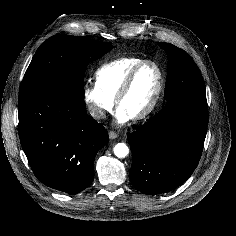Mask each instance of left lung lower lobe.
Here are the masks:
<instances>
[{
	"label": "left lung lower lobe",
	"mask_w": 236,
	"mask_h": 236,
	"mask_svg": "<svg viewBox=\"0 0 236 236\" xmlns=\"http://www.w3.org/2000/svg\"><path fill=\"white\" fill-rule=\"evenodd\" d=\"M207 122L206 96H189L169 102L130 133L132 185L144 194L155 195L184 183L198 166Z\"/></svg>",
	"instance_id": "obj_1"
}]
</instances>
